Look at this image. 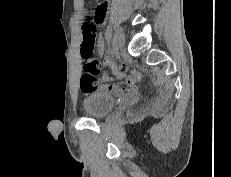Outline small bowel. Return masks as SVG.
Here are the masks:
<instances>
[{"instance_id":"obj_1","label":"small bowel","mask_w":231,"mask_h":177,"mask_svg":"<svg viewBox=\"0 0 231 177\" xmlns=\"http://www.w3.org/2000/svg\"><path fill=\"white\" fill-rule=\"evenodd\" d=\"M107 7H108L107 0L102 2V3H99L96 6V9H95L94 14H93V23L96 26L101 25L103 23L104 18H105V14H106V11H107ZM96 46L98 48V51L101 53L102 52V41L100 39L97 41ZM104 66L106 68H109V69L113 70V71L116 70L115 65L109 60H104ZM132 83H133L132 78H127L126 79V84L128 86L131 87ZM109 86H110V90H118V85L116 83L111 84Z\"/></svg>"}]
</instances>
